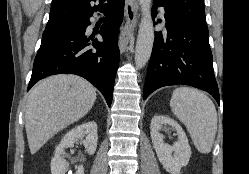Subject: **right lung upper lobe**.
I'll list each match as a JSON object with an SVG mask.
<instances>
[{"label": "right lung upper lobe", "instance_id": "right-lung-upper-lobe-1", "mask_svg": "<svg viewBox=\"0 0 249 174\" xmlns=\"http://www.w3.org/2000/svg\"><path fill=\"white\" fill-rule=\"evenodd\" d=\"M99 1L96 6H91ZM52 0L49 21L46 27L61 25L70 20L91 17L95 11L104 12L115 0Z\"/></svg>", "mask_w": 249, "mask_h": 174}]
</instances>
